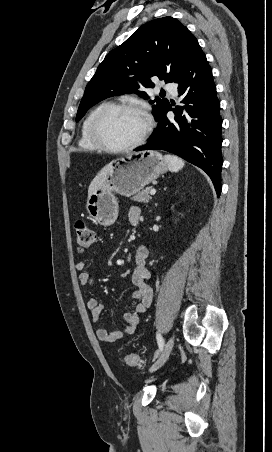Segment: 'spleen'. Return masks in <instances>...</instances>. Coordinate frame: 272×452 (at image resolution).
Instances as JSON below:
<instances>
[{
	"instance_id": "spleen-1",
	"label": "spleen",
	"mask_w": 272,
	"mask_h": 452,
	"mask_svg": "<svg viewBox=\"0 0 272 452\" xmlns=\"http://www.w3.org/2000/svg\"><path fill=\"white\" fill-rule=\"evenodd\" d=\"M164 159L167 163L169 171L171 172H178L185 164L181 158L171 154L165 155Z\"/></svg>"
}]
</instances>
